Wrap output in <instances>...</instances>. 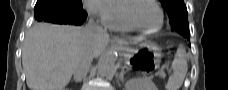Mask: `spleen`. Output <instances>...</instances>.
Here are the masks:
<instances>
[{
    "mask_svg": "<svg viewBox=\"0 0 228 90\" xmlns=\"http://www.w3.org/2000/svg\"><path fill=\"white\" fill-rule=\"evenodd\" d=\"M173 73L165 84L166 90H179L188 71L185 50L181 47L177 49L172 62Z\"/></svg>",
    "mask_w": 228,
    "mask_h": 90,
    "instance_id": "3e777b00",
    "label": "spleen"
}]
</instances>
